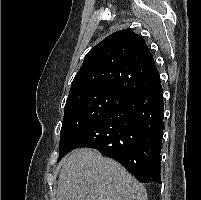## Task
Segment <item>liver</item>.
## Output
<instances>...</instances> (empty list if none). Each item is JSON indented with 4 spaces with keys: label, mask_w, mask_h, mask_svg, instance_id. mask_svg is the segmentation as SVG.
Segmentation results:
<instances>
[{
    "label": "liver",
    "mask_w": 201,
    "mask_h": 200,
    "mask_svg": "<svg viewBox=\"0 0 201 200\" xmlns=\"http://www.w3.org/2000/svg\"><path fill=\"white\" fill-rule=\"evenodd\" d=\"M56 200H147V192L115 160L79 148L63 163Z\"/></svg>",
    "instance_id": "liver-1"
}]
</instances>
